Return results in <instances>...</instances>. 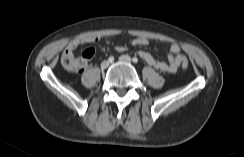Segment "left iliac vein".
<instances>
[{"instance_id": "obj_1", "label": "left iliac vein", "mask_w": 244, "mask_h": 157, "mask_svg": "<svg viewBox=\"0 0 244 157\" xmlns=\"http://www.w3.org/2000/svg\"><path fill=\"white\" fill-rule=\"evenodd\" d=\"M119 60L121 62L131 63V58L128 55H122L119 57Z\"/></svg>"}]
</instances>
